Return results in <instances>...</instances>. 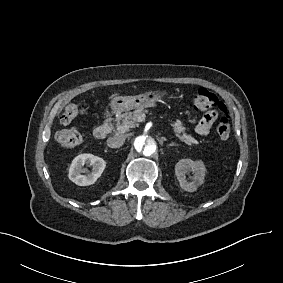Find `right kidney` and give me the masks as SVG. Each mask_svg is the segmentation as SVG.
Masks as SVG:
<instances>
[{
    "instance_id": "obj_1",
    "label": "right kidney",
    "mask_w": 283,
    "mask_h": 283,
    "mask_svg": "<svg viewBox=\"0 0 283 283\" xmlns=\"http://www.w3.org/2000/svg\"><path fill=\"white\" fill-rule=\"evenodd\" d=\"M91 166L89 171L85 166ZM106 168V162L93 154H82L77 156L69 169V179L80 185L94 184Z\"/></svg>"
}]
</instances>
